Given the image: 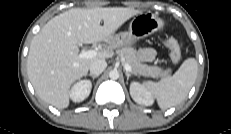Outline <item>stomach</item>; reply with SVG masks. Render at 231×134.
<instances>
[{"mask_svg": "<svg viewBox=\"0 0 231 134\" xmlns=\"http://www.w3.org/2000/svg\"><path fill=\"white\" fill-rule=\"evenodd\" d=\"M164 21L154 13H140L133 18L128 32H121L112 37L111 45L122 48L131 46L157 31L164 29Z\"/></svg>", "mask_w": 231, "mask_h": 134, "instance_id": "0dacf381", "label": "stomach"}]
</instances>
